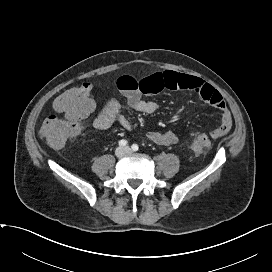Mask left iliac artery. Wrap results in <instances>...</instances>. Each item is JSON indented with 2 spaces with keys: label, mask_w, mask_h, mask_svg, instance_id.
<instances>
[{
  "label": "left iliac artery",
  "mask_w": 272,
  "mask_h": 272,
  "mask_svg": "<svg viewBox=\"0 0 272 272\" xmlns=\"http://www.w3.org/2000/svg\"><path fill=\"white\" fill-rule=\"evenodd\" d=\"M131 148L133 151H137L139 149V146L137 144H133Z\"/></svg>",
  "instance_id": "44dca946"
}]
</instances>
